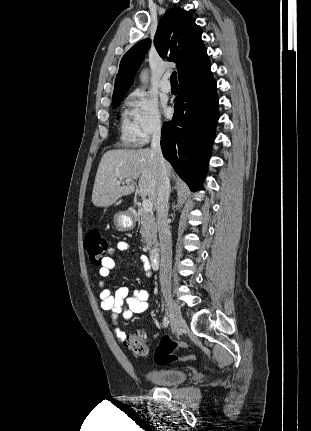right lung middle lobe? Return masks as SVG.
Returning <instances> with one entry per match:
<instances>
[{
	"mask_svg": "<svg viewBox=\"0 0 311 431\" xmlns=\"http://www.w3.org/2000/svg\"><path fill=\"white\" fill-rule=\"evenodd\" d=\"M123 97L124 96L113 98V100H112V107L113 108L118 107L119 104H120V102L122 101Z\"/></svg>",
	"mask_w": 311,
	"mask_h": 431,
	"instance_id": "1",
	"label": "right lung middle lobe"
}]
</instances>
